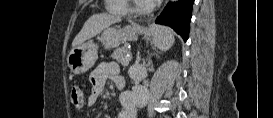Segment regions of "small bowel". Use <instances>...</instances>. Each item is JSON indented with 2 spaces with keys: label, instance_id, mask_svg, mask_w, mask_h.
Returning a JSON list of instances; mask_svg holds the SVG:
<instances>
[{
  "label": "small bowel",
  "instance_id": "small-bowel-1",
  "mask_svg": "<svg viewBox=\"0 0 273 118\" xmlns=\"http://www.w3.org/2000/svg\"><path fill=\"white\" fill-rule=\"evenodd\" d=\"M109 80H113L114 82L123 81L118 66L102 63L91 73L90 82L92 88L86 101L88 107L96 105ZM121 104L123 109L118 118L136 117V103L134 95L130 94L128 96H123L121 98Z\"/></svg>",
  "mask_w": 273,
  "mask_h": 118
}]
</instances>
